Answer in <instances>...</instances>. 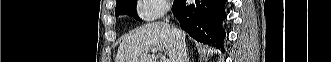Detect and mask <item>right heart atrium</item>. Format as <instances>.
Segmentation results:
<instances>
[{"label":"right heart atrium","instance_id":"right-heart-atrium-1","mask_svg":"<svg viewBox=\"0 0 331 62\" xmlns=\"http://www.w3.org/2000/svg\"><path fill=\"white\" fill-rule=\"evenodd\" d=\"M169 6L170 2L166 0H141L139 2L140 14L147 20L164 15Z\"/></svg>","mask_w":331,"mask_h":62}]
</instances>
